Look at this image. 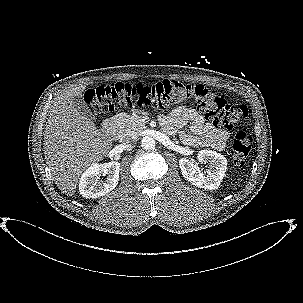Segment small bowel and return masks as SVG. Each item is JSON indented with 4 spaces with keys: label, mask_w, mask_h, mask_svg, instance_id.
Returning <instances> with one entry per match:
<instances>
[{
    "label": "small bowel",
    "mask_w": 303,
    "mask_h": 303,
    "mask_svg": "<svg viewBox=\"0 0 303 303\" xmlns=\"http://www.w3.org/2000/svg\"><path fill=\"white\" fill-rule=\"evenodd\" d=\"M159 120L168 134L179 131L182 142L190 146H205L221 151L229 138L228 131L206 122L196 109L186 106L174 108L168 115L160 116ZM186 125H190L191 133L181 130Z\"/></svg>",
    "instance_id": "c3829d8e"
}]
</instances>
